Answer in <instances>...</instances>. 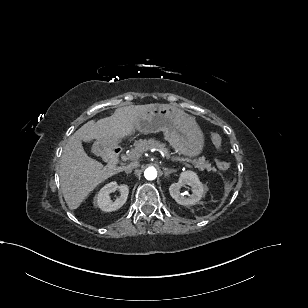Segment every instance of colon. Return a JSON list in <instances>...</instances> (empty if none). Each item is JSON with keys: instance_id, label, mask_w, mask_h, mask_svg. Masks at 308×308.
<instances>
[{"instance_id": "5ec220e1", "label": "colon", "mask_w": 308, "mask_h": 308, "mask_svg": "<svg viewBox=\"0 0 308 308\" xmlns=\"http://www.w3.org/2000/svg\"><path fill=\"white\" fill-rule=\"evenodd\" d=\"M211 140L214 144V146L216 147V149L220 150L221 149V146H222V138L219 134L217 133H212L211 134ZM216 164L218 166L219 169L221 170H227L230 168V162L221 158V157H218L216 159Z\"/></svg>"}]
</instances>
